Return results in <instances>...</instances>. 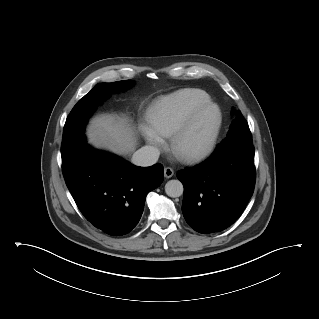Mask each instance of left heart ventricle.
Instances as JSON below:
<instances>
[{"label":"left heart ventricle","instance_id":"1","mask_svg":"<svg viewBox=\"0 0 319 319\" xmlns=\"http://www.w3.org/2000/svg\"><path fill=\"white\" fill-rule=\"evenodd\" d=\"M217 122L218 113L216 109L209 108L204 111L199 116L192 132L186 139L185 147L189 149H196L206 145Z\"/></svg>","mask_w":319,"mask_h":319}]
</instances>
